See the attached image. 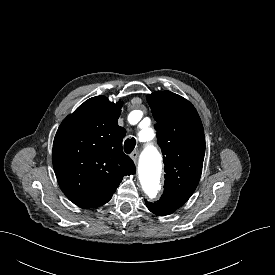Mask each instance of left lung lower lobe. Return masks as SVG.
<instances>
[{
	"label": "left lung lower lobe",
	"mask_w": 275,
	"mask_h": 275,
	"mask_svg": "<svg viewBox=\"0 0 275 275\" xmlns=\"http://www.w3.org/2000/svg\"><path fill=\"white\" fill-rule=\"evenodd\" d=\"M188 199L189 198L185 197H161L157 203H150L146 201V205L151 212L159 216H165L173 213Z\"/></svg>",
	"instance_id": "1"
}]
</instances>
